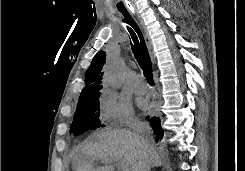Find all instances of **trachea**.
I'll list each match as a JSON object with an SVG mask.
<instances>
[{"label": "trachea", "mask_w": 245, "mask_h": 171, "mask_svg": "<svg viewBox=\"0 0 245 171\" xmlns=\"http://www.w3.org/2000/svg\"><path fill=\"white\" fill-rule=\"evenodd\" d=\"M117 8L124 16L123 22L125 23V26L130 34L131 49L133 54L140 68L143 70L146 80L150 85H153L154 80L152 76V63L142 32L122 2L117 4Z\"/></svg>", "instance_id": "1"}]
</instances>
